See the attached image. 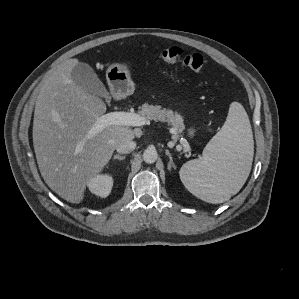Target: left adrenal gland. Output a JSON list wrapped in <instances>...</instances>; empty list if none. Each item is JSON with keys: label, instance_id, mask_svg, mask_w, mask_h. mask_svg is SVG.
Wrapping results in <instances>:
<instances>
[{"label": "left adrenal gland", "instance_id": "1", "mask_svg": "<svg viewBox=\"0 0 299 299\" xmlns=\"http://www.w3.org/2000/svg\"><path fill=\"white\" fill-rule=\"evenodd\" d=\"M165 152H166V155H167V156L169 157V159H170V160H169V163H168V170L170 171L171 168L176 169L175 164H174V162H173V158H172V156H171L169 150H166Z\"/></svg>", "mask_w": 299, "mask_h": 299}]
</instances>
